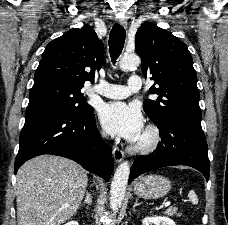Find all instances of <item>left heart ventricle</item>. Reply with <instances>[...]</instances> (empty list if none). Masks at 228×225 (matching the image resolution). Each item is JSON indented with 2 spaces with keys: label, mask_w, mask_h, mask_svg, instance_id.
I'll return each instance as SVG.
<instances>
[{
  "label": "left heart ventricle",
  "mask_w": 228,
  "mask_h": 225,
  "mask_svg": "<svg viewBox=\"0 0 228 225\" xmlns=\"http://www.w3.org/2000/svg\"><path fill=\"white\" fill-rule=\"evenodd\" d=\"M140 140H142V136L137 141H140Z\"/></svg>",
  "instance_id": "b2bd125f"
}]
</instances>
